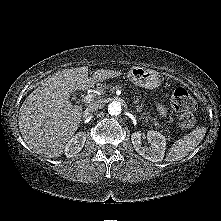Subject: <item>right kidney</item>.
I'll use <instances>...</instances> for the list:
<instances>
[{"label": "right kidney", "mask_w": 221, "mask_h": 221, "mask_svg": "<svg viewBox=\"0 0 221 221\" xmlns=\"http://www.w3.org/2000/svg\"><path fill=\"white\" fill-rule=\"evenodd\" d=\"M86 141V134L84 132H78L75 134L66 144L64 153L66 157H74L76 154H78Z\"/></svg>", "instance_id": "ca27d5eb"}]
</instances>
